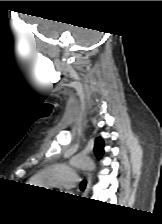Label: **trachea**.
<instances>
[{"instance_id":"1","label":"trachea","mask_w":162,"mask_h":224,"mask_svg":"<svg viewBox=\"0 0 162 224\" xmlns=\"http://www.w3.org/2000/svg\"><path fill=\"white\" fill-rule=\"evenodd\" d=\"M85 187H86V181L83 180V181L81 182V184H80V189H81V190H84Z\"/></svg>"}]
</instances>
